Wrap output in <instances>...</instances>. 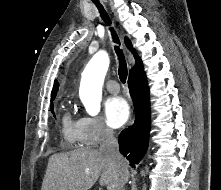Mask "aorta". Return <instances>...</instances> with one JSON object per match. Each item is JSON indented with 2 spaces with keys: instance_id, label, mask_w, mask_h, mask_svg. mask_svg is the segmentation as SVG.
I'll use <instances>...</instances> for the list:
<instances>
[{
  "instance_id": "762f6f07",
  "label": "aorta",
  "mask_w": 221,
  "mask_h": 190,
  "mask_svg": "<svg viewBox=\"0 0 221 190\" xmlns=\"http://www.w3.org/2000/svg\"><path fill=\"white\" fill-rule=\"evenodd\" d=\"M109 56L99 51L89 61L82 74L79 95L87 113L96 116L100 112L102 87L109 67Z\"/></svg>"
}]
</instances>
